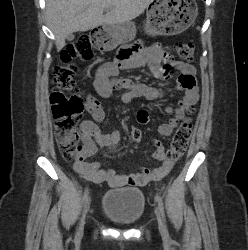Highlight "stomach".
<instances>
[{
	"instance_id": "stomach-1",
	"label": "stomach",
	"mask_w": 248,
	"mask_h": 250,
	"mask_svg": "<svg viewBox=\"0 0 248 250\" xmlns=\"http://www.w3.org/2000/svg\"><path fill=\"white\" fill-rule=\"evenodd\" d=\"M198 7L195 0H155L146 12L144 31L148 35H176L188 29L195 21ZM106 42L105 51L112 50L121 44H128L136 36L133 22L117 25H103Z\"/></svg>"
}]
</instances>
